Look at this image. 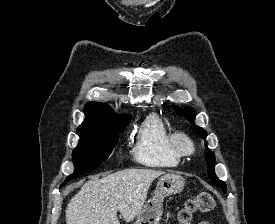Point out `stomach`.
<instances>
[{"mask_svg": "<svg viewBox=\"0 0 275 224\" xmlns=\"http://www.w3.org/2000/svg\"><path fill=\"white\" fill-rule=\"evenodd\" d=\"M184 184L185 180L180 175H163L157 183L153 197L144 204L134 224H159L163 213L164 197L180 193Z\"/></svg>", "mask_w": 275, "mask_h": 224, "instance_id": "stomach-1", "label": "stomach"}]
</instances>
